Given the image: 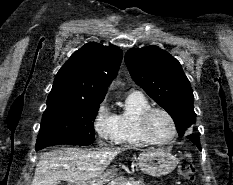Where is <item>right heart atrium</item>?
Instances as JSON below:
<instances>
[{
  "label": "right heart atrium",
  "mask_w": 233,
  "mask_h": 185,
  "mask_svg": "<svg viewBox=\"0 0 233 185\" xmlns=\"http://www.w3.org/2000/svg\"><path fill=\"white\" fill-rule=\"evenodd\" d=\"M93 129L99 140L102 142H111L115 139L116 121L115 115L109 109L106 101H102L93 116Z\"/></svg>",
  "instance_id": "d8ad5b80"
}]
</instances>
